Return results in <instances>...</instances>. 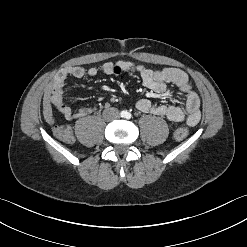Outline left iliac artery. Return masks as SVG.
I'll return each mask as SVG.
<instances>
[{
    "mask_svg": "<svg viewBox=\"0 0 247 247\" xmlns=\"http://www.w3.org/2000/svg\"><path fill=\"white\" fill-rule=\"evenodd\" d=\"M126 118L130 119L131 118V114L127 113Z\"/></svg>",
    "mask_w": 247,
    "mask_h": 247,
    "instance_id": "left-iliac-artery-1",
    "label": "left iliac artery"
}]
</instances>
